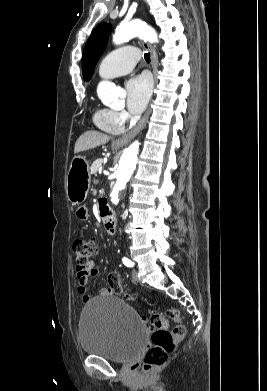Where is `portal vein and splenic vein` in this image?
<instances>
[{
  "label": "portal vein and splenic vein",
  "instance_id": "obj_1",
  "mask_svg": "<svg viewBox=\"0 0 267 391\" xmlns=\"http://www.w3.org/2000/svg\"><path fill=\"white\" fill-rule=\"evenodd\" d=\"M102 173V168H99V174H101Z\"/></svg>",
  "mask_w": 267,
  "mask_h": 391
}]
</instances>
